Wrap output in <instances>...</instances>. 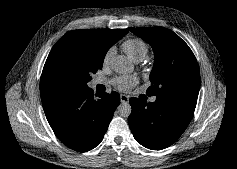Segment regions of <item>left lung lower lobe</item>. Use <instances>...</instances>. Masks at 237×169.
<instances>
[{
  "label": "left lung lower lobe",
  "mask_w": 237,
  "mask_h": 169,
  "mask_svg": "<svg viewBox=\"0 0 237 169\" xmlns=\"http://www.w3.org/2000/svg\"><path fill=\"white\" fill-rule=\"evenodd\" d=\"M132 112L128 122L136 141L152 150L172 145L190 123L197 99L185 96L156 97L145 103L138 98L129 100Z\"/></svg>",
  "instance_id": "obj_1"
}]
</instances>
